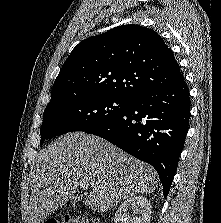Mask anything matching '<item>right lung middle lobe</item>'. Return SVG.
Masks as SVG:
<instances>
[{
    "instance_id": "1",
    "label": "right lung middle lobe",
    "mask_w": 221,
    "mask_h": 223,
    "mask_svg": "<svg viewBox=\"0 0 221 223\" xmlns=\"http://www.w3.org/2000/svg\"><path fill=\"white\" fill-rule=\"evenodd\" d=\"M131 102V99L111 95H79L52 102L43 113L40 143L99 126L122 113Z\"/></svg>"
}]
</instances>
